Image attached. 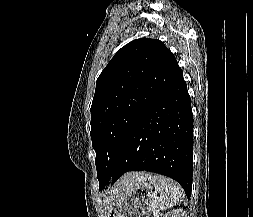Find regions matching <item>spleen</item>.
Returning a JSON list of instances; mask_svg holds the SVG:
<instances>
[{
    "mask_svg": "<svg viewBox=\"0 0 253 217\" xmlns=\"http://www.w3.org/2000/svg\"><path fill=\"white\" fill-rule=\"evenodd\" d=\"M148 180L160 195L155 202L160 210H167L183 200L182 188L174 180L161 175L149 176Z\"/></svg>",
    "mask_w": 253,
    "mask_h": 217,
    "instance_id": "1",
    "label": "spleen"
}]
</instances>
